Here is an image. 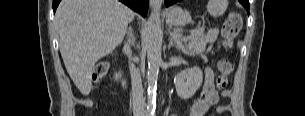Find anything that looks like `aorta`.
Here are the masks:
<instances>
[{"instance_id": "aorta-1", "label": "aorta", "mask_w": 305, "mask_h": 116, "mask_svg": "<svg viewBox=\"0 0 305 116\" xmlns=\"http://www.w3.org/2000/svg\"><path fill=\"white\" fill-rule=\"evenodd\" d=\"M144 45L148 61V105L147 111L152 113L157 89V78L161 65L162 31L159 9L156 8L149 16L144 32Z\"/></svg>"}]
</instances>
